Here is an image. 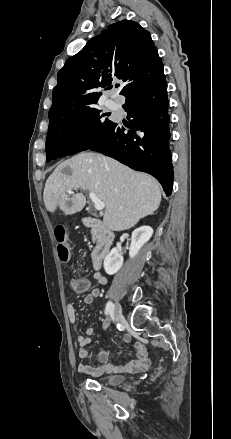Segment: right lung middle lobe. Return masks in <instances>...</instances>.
<instances>
[{
  "instance_id": "obj_1",
  "label": "right lung middle lobe",
  "mask_w": 231,
  "mask_h": 439,
  "mask_svg": "<svg viewBox=\"0 0 231 439\" xmlns=\"http://www.w3.org/2000/svg\"><path fill=\"white\" fill-rule=\"evenodd\" d=\"M96 107L49 122L46 141V161L88 150L111 128L113 122L104 119Z\"/></svg>"
}]
</instances>
